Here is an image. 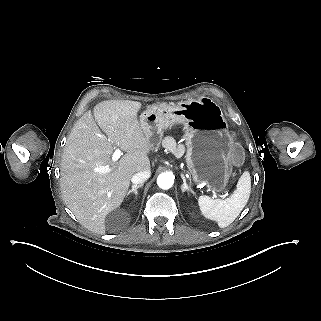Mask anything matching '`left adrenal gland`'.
<instances>
[{
    "label": "left adrenal gland",
    "instance_id": "left-adrenal-gland-1",
    "mask_svg": "<svg viewBox=\"0 0 321 321\" xmlns=\"http://www.w3.org/2000/svg\"><path fill=\"white\" fill-rule=\"evenodd\" d=\"M181 178L183 180V184L181 186L182 192L190 191L192 194H195V192L187 185L186 178H185V176L183 174H181Z\"/></svg>",
    "mask_w": 321,
    "mask_h": 321
}]
</instances>
